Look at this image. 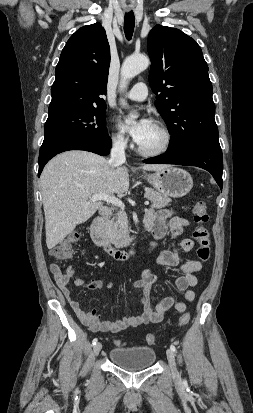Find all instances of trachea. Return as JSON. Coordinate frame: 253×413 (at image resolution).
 <instances>
[{
    "mask_svg": "<svg viewBox=\"0 0 253 413\" xmlns=\"http://www.w3.org/2000/svg\"><path fill=\"white\" fill-rule=\"evenodd\" d=\"M135 26V17L133 11L125 13L124 32L127 40H131Z\"/></svg>",
    "mask_w": 253,
    "mask_h": 413,
    "instance_id": "trachea-1",
    "label": "trachea"
}]
</instances>
